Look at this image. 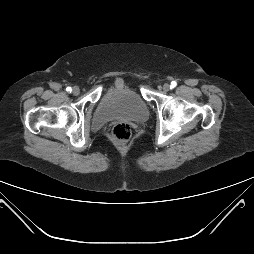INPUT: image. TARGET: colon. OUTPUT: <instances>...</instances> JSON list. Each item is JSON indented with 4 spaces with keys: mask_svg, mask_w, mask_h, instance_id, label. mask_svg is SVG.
<instances>
[{
    "mask_svg": "<svg viewBox=\"0 0 254 254\" xmlns=\"http://www.w3.org/2000/svg\"><path fill=\"white\" fill-rule=\"evenodd\" d=\"M131 128L126 123H118L112 129L113 139L120 144H124L131 138Z\"/></svg>",
    "mask_w": 254,
    "mask_h": 254,
    "instance_id": "1",
    "label": "colon"
}]
</instances>
